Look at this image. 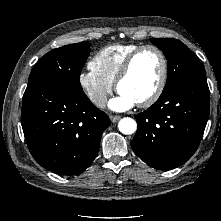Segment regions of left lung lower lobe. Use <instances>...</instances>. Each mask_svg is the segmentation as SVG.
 I'll return each mask as SVG.
<instances>
[{"mask_svg":"<svg viewBox=\"0 0 221 221\" xmlns=\"http://www.w3.org/2000/svg\"><path fill=\"white\" fill-rule=\"evenodd\" d=\"M206 76L188 78L162 92L146 111L136 115L131 142L135 154L159 170L174 169L195 153L209 117Z\"/></svg>","mask_w":221,"mask_h":221,"instance_id":"left-lung-lower-lobe-1","label":"left lung lower lobe"}]
</instances>
